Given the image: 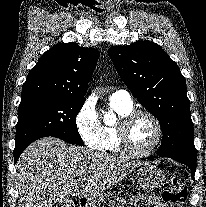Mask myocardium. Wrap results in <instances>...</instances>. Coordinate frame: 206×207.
<instances>
[{
	"label": "myocardium",
	"mask_w": 206,
	"mask_h": 207,
	"mask_svg": "<svg viewBox=\"0 0 206 207\" xmlns=\"http://www.w3.org/2000/svg\"><path fill=\"white\" fill-rule=\"evenodd\" d=\"M141 116L148 117L152 121L156 129V136L152 145L148 149L138 151L130 145L128 130L133 121ZM116 130L121 151L133 157H146L152 154L158 148L163 138V127L161 122L152 112L147 110H132L130 113L120 119Z\"/></svg>",
	"instance_id": "1"
}]
</instances>
